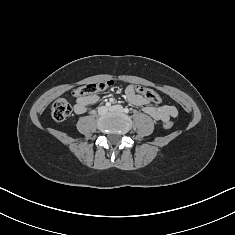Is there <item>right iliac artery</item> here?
<instances>
[{"mask_svg":"<svg viewBox=\"0 0 235 235\" xmlns=\"http://www.w3.org/2000/svg\"><path fill=\"white\" fill-rule=\"evenodd\" d=\"M105 106H106V107H110L111 104H110L109 102H107V103L105 104Z\"/></svg>","mask_w":235,"mask_h":235,"instance_id":"82829eb1","label":"right iliac artery"}]
</instances>
